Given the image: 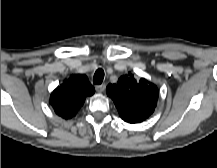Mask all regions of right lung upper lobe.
<instances>
[{
    "mask_svg": "<svg viewBox=\"0 0 217 168\" xmlns=\"http://www.w3.org/2000/svg\"><path fill=\"white\" fill-rule=\"evenodd\" d=\"M94 94V87L86 75H72L58 86L51 94L50 103L59 116L72 118L83 105L85 98Z\"/></svg>",
    "mask_w": 217,
    "mask_h": 168,
    "instance_id": "obj_1",
    "label": "right lung upper lobe"
}]
</instances>
